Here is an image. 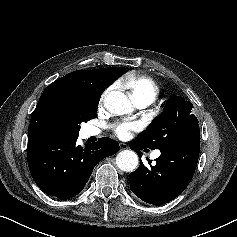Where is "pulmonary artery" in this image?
<instances>
[{"label":"pulmonary artery","instance_id":"pulmonary-artery-1","mask_svg":"<svg viewBox=\"0 0 237 237\" xmlns=\"http://www.w3.org/2000/svg\"><path fill=\"white\" fill-rule=\"evenodd\" d=\"M149 104L150 103H148V102H141V103L138 104V106L140 108H144V107L148 106ZM99 133H100L99 129H97L95 127H89L88 128V134L89 135H98ZM158 156H159V152H156V153L153 154V158H156Z\"/></svg>","mask_w":237,"mask_h":237}]
</instances>
